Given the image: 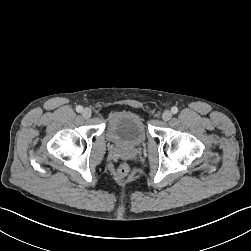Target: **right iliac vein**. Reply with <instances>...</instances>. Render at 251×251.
<instances>
[{
	"label": "right iliac vein",
	"mask_w": 251,
	"mask_h": 251,
	"mask_svg": "<svg viewBox=\"0 0 251 251\" xmlns=\"http://www.w3.org/2000/svg\"><path fill=\"white\" fill-rule=\"evenodd\" d=\"M91 109L89 108H85L83 111H82V116L86 119L90 118L91 117Z\"/></svg>",
	"instance_id": "63e3f726"
}]
</instances>
